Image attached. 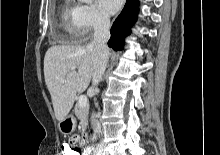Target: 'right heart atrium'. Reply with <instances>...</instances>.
Instances as JSON below:
<instances>
[{
    "label": "right heart atrium",
    "instance_id": "d8ad5b80",
    "mask_svg": "<svg viewBox=\"0 0 220 155\" xmlns=\"http://www.w3.org/2000/svg\"><path fill=\"white\" fill-rule=\"evenodd\" d=\"M109 24V16L96 5L80 6L78 27L81 35H90L95 31L107 28Z\"/></svg>",
    "mask_w": 220,
    "mask_h": 155
}]
</instances>
